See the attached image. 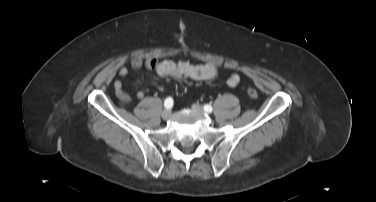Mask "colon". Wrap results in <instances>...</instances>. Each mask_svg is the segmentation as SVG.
Wrapping results in <instances>:
<instances>
[{
  "mask_svg": "<svg viewBox=\"0 0 376 202\" xmlns=\"http://www.w3.org/2000/svg\"><path fill=\"white\" fill-rule=\"evenodd\" d=\"M247 93H248V95H249L251 98H256V97L258 96L257 91H256L255 89H253V88H249V89L247 90Z\"/></svg>",
  "mask_w": 376,
  "mask_h": 202,
  "instance_id": "colon-1",
  "label": "colon"
}]
</instances>
